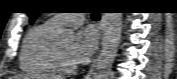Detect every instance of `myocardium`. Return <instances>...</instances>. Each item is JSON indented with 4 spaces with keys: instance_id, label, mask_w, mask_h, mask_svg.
<instances>
[{
    "instance_id": "myocardium-1",
    "label": "myocardium",
    "mask_w": 177,
    "mask_h": 79,
    "mask_svg": "<svg viewBox=\"0 0 177 79\" xmlns=\"http://www.w3.org/2000/svg\"><path fill=\"white\" fill-rule=\"evenodd\" d=\"M55 59H56V63H57L59 70L66 72V73H71L76 70V65L74 63L66 62L57 47L55 48Z\"/></svg>"
}]
</instances>
